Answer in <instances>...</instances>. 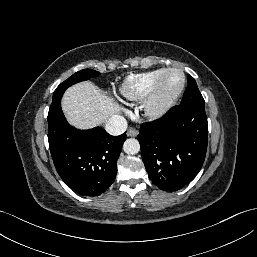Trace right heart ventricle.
<instances>
[{
  "label": "right heart ventricle",
  "instance_id": "right-heart-ventricle-1",
  "mask_svg": "<svg viewBox=\"0 0 257 257\" xmlns=\"http://www.w3.org/2000/svg\"><path fill=\"white\" fill-rule=\"evenodd\" d=\"M166 68L129 76L119 88L122 100L128 103H137L145 100L153 90L159 77Z\"/></svg>",
  "mask_w": 257,
  "mask_h": 257
}]
</instances>
